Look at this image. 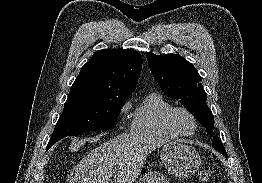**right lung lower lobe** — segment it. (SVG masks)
Instances as JSON below:
<instances>
[{
  "instance_id": "right-lung-lower-lobe-1",
  "label": "right lung lower lobe",
  "mask_w": 262,
  "mask_h": 183,
  "mask_svg": "<svg viewBox=\"0 0 262 183\" xmlns=\"http://www.w3.org/2000/svg\"><path fill=\"white\" fill-rule=\"evenodd\" d=\"M49 147H51V145H48L47 149H48Z\"/></svg>"
}]
</instances>
